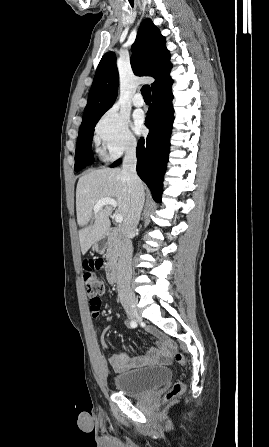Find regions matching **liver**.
<instances>
[{
  "instance_id": "6515ba94",
  "label": "liver",
  "mask_w": 269,
  "mask_h": 447,
  "mask_svg": "<svg viewBox=\"0 0 269 447\" xmlns=\"http://www.w3.org/2000/svg\"><path fill=\"white\" fill-rule=\"evenodd\" d=\"M102 198H112L117 202V212L126 218L130 208V192L127 180L120 168L87 170L79 178L76 188V214L80 225L79 241L84 255L89 247L105 237L111 222L113 206H102L99 212L93 208Z\"/></svg>"
}]
</instances>
